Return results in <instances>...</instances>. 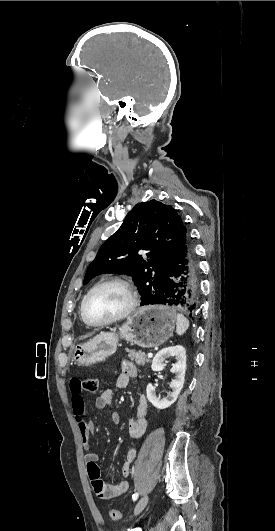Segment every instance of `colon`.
Listing matches in <instances>:
<instances>
[{"label": "colon", "instance_id": "1", "mask_svg": "<svg viewBox=\"0 0 275 531\" xmlns=\"http://www.w3.org/2000/svg\"><path fill=\"white\" fill-rule=\"evenodd\" d=\"M82 390L83 392H89V393H95L99 390V383L98 379L96 377H88L85 378V381L82 383ZM110 518L112 519V522H118V518L121 516V513L116 510H112L110 512Z\"/></svg>", "mask_w": 275, "mask_h": 531}]
</instances>
